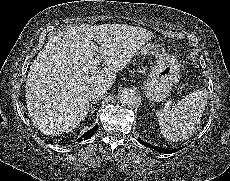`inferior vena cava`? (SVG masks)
Wrapping results in <instances>:
<instances>
[{
    "instance_id": "602c4592",
    "label": "inferior vena cava",
    "mask_w": 230,
    "mask_h": 181,
    "mask_svg": "<svg viewBox=\"0 0 230 181\" xmlns=\"http://www.w3.org/2000/svg\"><path fill=\"white\" fill-rule=\"evenodd\" d=\"M106 94H107V88L106 87L94 86L88 91L87 97L89 100L96 101V100H100L103 97H105Z\"/></svg>"
}]
</instances>
